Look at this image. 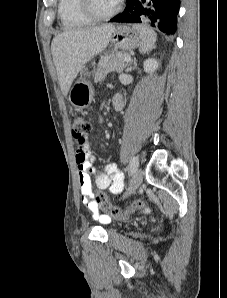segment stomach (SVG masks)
Returning <instances> with one entry per match:
<instances>
[{
	"label": "stomach",
	"mask_w": 227,
	"mask_h": 298,
	"mask_svg": "<svg viewBox=\"0 0 227 298\" xmlns=\"http://www.w3.org/2000/svg\"><path fill=\"white\" fill-rule=\"evenodd\" d=\"M110 42L115 49L130 51L141 43V35L135 27L119 25L114 28ZM89 76L90 71L87 67H83L79 80L70 91L69 100L78 109H85L92 102L94 89L88 79Z\"/></svg>",
	"instance_id": "0dacf381"
}]
</instances>
